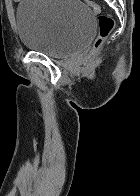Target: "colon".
<instances>
[{"mask_svg": "<svg viewBox=\"0 0 140 196\" xmlns=\"http://www.w3.org/2000/svg\"><path fill=\"white\" fill-rule=\"evenodd\" d=\"M96 14L98 33L94 43L84 59V65L92 64L97 58L100 50L102 49L105 40L114 28V19L108 13H103L101 6L90 0H83Z\"/></svg>", "mask_w": 140, "mask_h": 196, "instance_id": "obj_1", "label": "colon"}]
</instances>
